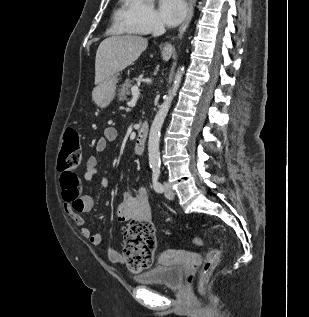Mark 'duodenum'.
<instances>
[{"label":"duodenum","instance_id":"1","mask_svg":"<svg viewBox=\"0 0 309 317\" xmlns=\"http://www.w3.org/2000/svg\"><path fill=\"white\" fill-rule=\"evenodd\" d=\"M149 125L147 122H143L137 132L134 150L137 153H142L145 147V143L148 137Z\"/></svg>","mask_w":309,"mask_h":317}]
</instances>
